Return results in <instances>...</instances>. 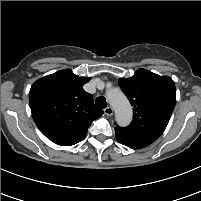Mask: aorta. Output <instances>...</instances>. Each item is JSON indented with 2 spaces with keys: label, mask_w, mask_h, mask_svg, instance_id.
I'll return each mask as SVG.
<instances>
[{
  "label": "aorta",
  "mask_w": 201,
  "mask_h": 201,
  "mask_svg": "<svg viewBox=\"0 0 201 201\" xmlns=\"http://www.w3.org/2000/svg\"><path fill=\"white\" fill-rule=\"evenodd\" d=\"M107 98L115 111L117 123L127 126L132 120V107L127 97L120 89L115 88L107 92Z\"/></svg>",
  "instance_id": "762f6f07"
}]
</instances>
